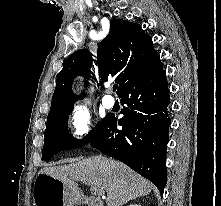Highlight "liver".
Segmentation results:
<instances>
[{"label": "liver", "mask_w": 221, "mask_h": 206, "mask_svg": "<svg viewBox=\"0 0 221 206\" xmlns=\"http://www.w3.org/2000/svg\"><path fill=\"white\" fill-rule=\"evenodd\" d=\"M46 174L73 187L79 180L106 192L107 206H122L130 200L148 195L152 184L125 164L101 155L88 157L69 165L45 167Z\"/></svg>", "instance_id": "6515ba94"}]
</instances>
